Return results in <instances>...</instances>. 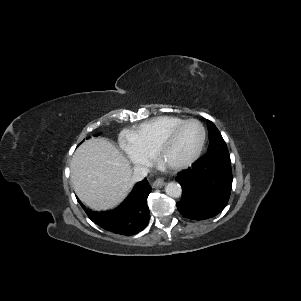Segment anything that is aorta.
Returning <instances> with one entry per match:
<instances>
[{"label": "aorta", "mask_w": 301, "mask_h": 301, "mask_svg": "<svg viewBox=\"0 0 301 301\" xmlns=\"http://www.w3.org/2000/svg\"><path fill=\"white\" fill-rule=\"evenodd\" d=\"M165 192L170 197L178 198L182 194V188L178 183L170 182L166 185Z\"/></svg>", "instance_id": "obj_1"}]
</instances>
